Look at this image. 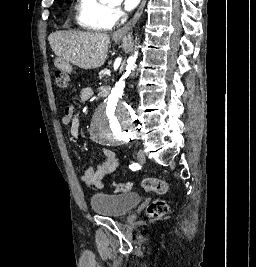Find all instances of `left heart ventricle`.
<instances>
[{
  "label": "left heart ventricle",
  "mask_w": 256,
  "mask_h": 267,
  "mask_svg": "<svg viewBox=\"0 0 256 267\" xmlns=\"http://www.w3.org/2000/svg\"><path fill=\"white\" fill-rule=\"evenodd\" d=\"M101 30H103V31H108V30H104V29H101Z\"/></svg>",
  "instance_id": "obj_1"
}]
</instances>
